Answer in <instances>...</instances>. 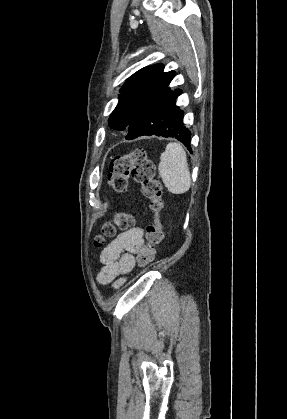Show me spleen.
Here are the masks:
<instances>
[{
    "mask_svg": "<svg viewBox=\"0 0 287 419\" xmlns=\"http://www.w3.org/2000/svg\"><path fill=\"white\" fill-rule=\"evenodd\" d=\"M166 188L172 194H183L191 186V177L187 162V156L181 144L170 142L160 156L158 166Z\"/></svg>",
    "mask_w": 287,
    "mask_h": 419,
    "instance_id": "3e777b00",
    "label": "spleen"
}]
</instances>
